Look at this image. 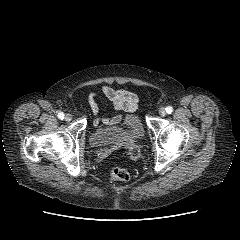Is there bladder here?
I'll list each match as a JSON object with an SVG mask.
<instances>
[{"label":"bladder","mask_w":240,"mask_h":240,"mask_svg":"<svg viewBox=\"0 0 240 240\" xmlns=\"http://www.w3.org/2000/svg\"><path fill=\"white\" fill-rule=\"evenodd\" d=\"M144 136V127L140 118L134 113H127L114 125L94 128L89 136L93 148L103 149L123 144H136Z\"/></svg>","instance_id":"obj_1"}]
</instances>
